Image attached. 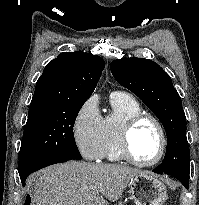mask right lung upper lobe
<instances>
[{"mask_svg":"<svg viewBox=\"0 0 199 205\" xmlns=\"http://www.w3.org/2000/svg\"><path fill=\"white\" fill-rule=\"evenodd\" d=\"M105 67L98 55L63 52L44 69L36 83L29 112L50 105L87 100Z\"/></svg>","mask_w":199,"mask_h":205,"instance_id":"right-lung-upper-lobe-1","label":"right lung upper lobe"}]
</instances>
